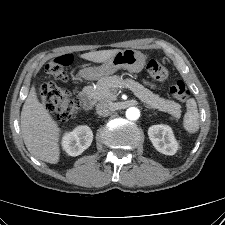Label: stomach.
Listing matches in <instances>:
<instances>
[{
    "instance_id": "0dacf381",
    "label": "stomach",
    "mask_w": 225,
    "mask_h": 225,
    "mask_svg": "<svg viewBox=\"0 0 225 225\" xmlns=\"http://www.w3.org/2000/svg\"><path fill=\"white\" fill-rule=\"evenodd\" d=\"M145 55L134 49L118 51L110 59L98 67H89L84 70V76L88 79H99L107 77L120 69L131 73H139L145 65Z\"/></svg>"
}]
</instances>
